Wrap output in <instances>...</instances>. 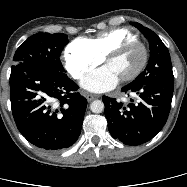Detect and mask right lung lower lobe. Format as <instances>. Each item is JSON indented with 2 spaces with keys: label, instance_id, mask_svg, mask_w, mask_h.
I'll return each mask as SVG.
<instances>
[{
  "label": "right lung lower lobe",
  "instance_id": "right-lung-lower-lobe-1",
  "mask_svg": "<svg viewBox=\"0 0 187 187\" xmlns=\"http://www.w3.org/2000/svg\"><path fill=\"white\" fill-rule=\"evenodd\" d=\"M67 75L41 65L12 66L10 99L21 134L45 150L70 147L78 139L87 100ZM58 103V109L53 103Z\"/></svg>",
  "mask_w": 187,
  "mask_h": 187
}]
</instances>
